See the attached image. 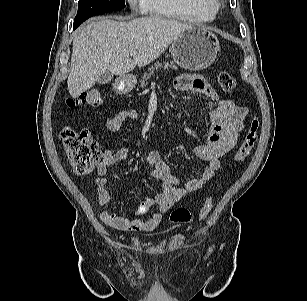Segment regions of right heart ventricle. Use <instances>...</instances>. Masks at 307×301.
Masks as SVG:
<instances>
[{"label": "right heart ventricle", "instance_id": "right-heart-ventricle-1", "mask_svg": "<svg viewBox=\"0 0 307 301\" xmlns=\"http://www.w3.org/2000/svg\"><path fill=\"white\" fill-rule=\"evenodd\" d=\"M146 10L155 16L191 22L212 21L217 7L207 0H146Z\"/></svg>", "mask_w": 307, "mask_h": 301}]
</instances>
